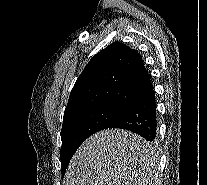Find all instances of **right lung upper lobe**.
I'll use <instances>...</instances> for the list:
<instances>
[{
    "mask_svg": "<svg viewBox=\"0 0 207 185\" xmlns=\"http://www.w3.org/2000/svg\"><path fill=\"white\" fill-rule=\"evenodd\" d=\"M151 86L139 53L114 42L92 57L84 68L71 91L64 118L101 105L123 109Z\"/></svg>",
    "mask_w": 207,
    "mask_h": 185,
    "instance_id": "cb5924a9",
    "label": "right lung upper lobe"
}]
</instances>
